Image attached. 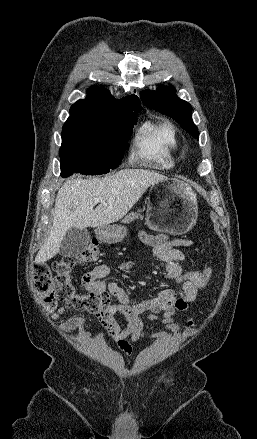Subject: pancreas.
<instances>
[{
  "mask_svg": "<svg viewBox=\"0 0 257 439\" xmlns=\"http://www.w3.org/2000/svg\"><path fill=\"white\" fill-rule=\"evenodd\" d=\"M140 212H141L140 210H139L138 212H131L130 214H128V215L122 220V222H123V223H131V222L135 221V220L138 219V218L143 219L144 216H142V215L140 214Z\"/></svg>",
  "mask_w": 257,
  "mask_h": 439,
  "instance_id": "pancreas-1",
  "label": "pancreas"
}]
</instances>
